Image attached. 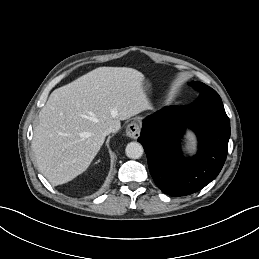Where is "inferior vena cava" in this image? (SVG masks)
<instances>
[{
	"label": "inferior vena cava",
	"mask_w": 259,
	"mask_h": 259,
	"mask_svg": "<svg viewBox=\"0 0 259 259\" xmlns=\"http://www.w3.org/2000/svg\"><path fill=\"white\" fill-rule=\"evenodd\" d=\"M115 131V129L113 128V127H107L103 132H102V134L104 135V136H106V135H109L110 133H112V132H114Z\"/></svg>",
	"instance_id": "obj_1"
}]
</instances>
